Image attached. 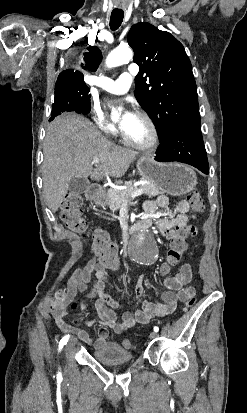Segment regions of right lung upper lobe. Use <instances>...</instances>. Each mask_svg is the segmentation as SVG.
I'll return each instance as SVG.
<instances>
[{"mask_svg": "<svg viewBox=\"0 0 247 413\" xmlns=\"http://www.w3.org/2000/svg\"><path fill=\"white\" fill-rule=\"evenodd\" d=\"M87 49H88V52L84 54V61H85L84 68L88 69L89 71L94 72L97 70L102 60V54L98 47L89 46ZM72 81H84V75L79 71H75L73 69H67L59 74L56 83L72 82Z\"/></svg>", "mask_w": 247, "mask_h": 413, "instance_id": "1", "label": "right lung upper lobe"}]
</instances>
